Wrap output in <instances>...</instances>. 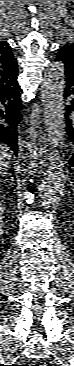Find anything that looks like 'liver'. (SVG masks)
<instances>
[{
    "mask_svg": "<svg viewBox=\"0 0 74 366\" xmlns=\"http://www.w3.org/2000/svg\"><path fill=\"white\" fill-rule=\"evenodd\" d=\"M13 156V152L7 145L1 144L0 145V169L6 170L9 166V160Z\"/></svg>",
    "mask_w": 74,
    "mask_h": 366,
    "instance_id": "obj_1",
    "label": "liver"
}]
</instances>
